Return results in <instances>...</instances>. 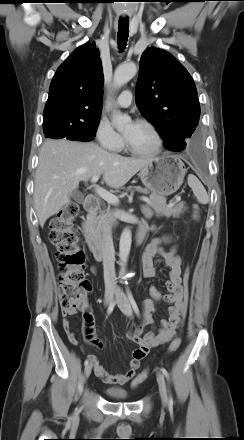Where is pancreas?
<instances>
[{"mask_svg": "<svg viewBox=\"0 0 244 440\" xmlns=\"http://www.w3.org/2000/svg\"><path fill=\"white\" fill-rule=\"evenodd\" d=\"M141 192L147 193V190L137 188ZM130 190V188H128ZM150 203L148 204L153 208L158 214L165 216L167 218L174 217L179 218L187 208L184 206L185 203L181 202L175 206L167 205L166 198L157 194L150 195ZM116 214L113 210L108 209L106 211H101L98 216H96L92 221V228L97 237H100L101 233L106 227H110L116 224Z\"/></svg>", "mask_w": 244, "mask_h": 440, "instance_id": "obj_1", "label": "pancreas"}]
</instances>
